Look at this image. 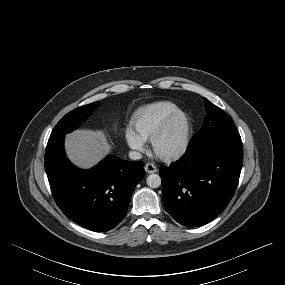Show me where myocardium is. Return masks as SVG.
<instances>
[{"label": "myocardium", "instance_id": "1", "mask_svg": "<svg viewBox=\"0 0 285 285\" xmlns=\"http://www.w3.org/2000/svg\"><path fill=\"white\" fill-rule=\"evenodd\" d=\"M178 117H183L186 120V131L183 141L177 150L170 153H163L158 149V143L161 140V138L165 135V133L167 132L173 121ZM192 136H193L192 119L186 111L179 109L170 114L151 136L150 145L152 152L163 161L166 162L176 161L182 158L188 151L192 141Z\"/></svg>", "mask_w": 285, "mask_h": 285}]
</instances>
